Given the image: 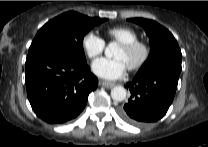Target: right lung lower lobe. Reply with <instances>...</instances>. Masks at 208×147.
Here are the masks:
<instances>
[{"instance_id":"obj_1","label":"right lung lower lobe","mask_w":208,"mask_h":147,"mask_svg":"<svg viewBox=\"0 0 208 147\" xmlns=\"http://www.w3.org/2000/svg\"><path fill=\"white\" fill-rule=\"evenodd\" d=\"M27 96L32 109L47 123L62 124L76 118L98 79L87 62L63 54H47L26 60Z\"/></svg>"}]
</instances>
